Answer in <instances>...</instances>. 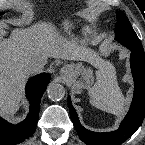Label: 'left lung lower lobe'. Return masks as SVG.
<instances>
[{
	"label": "left lung lower lobe",
	"instance_id": "obj_1",
	"mask_svg": "<svg viewBox=\"0 0 145 145\" xmlns=\"http://www.w3.org/2000/svg\"><path fill=\"white\" fill-rule=\"evenodd\" d=\"M131 50L130 65L134 79V97L130 110L120 127L113 132L97 133L85 129L79 122L68 99L70 115L80 139L87 145H120L140 127L145 117V55L143 47L126 46Z\"/></svg>",
	"mask_w": 145,
	"mask_h": 145
}]
</instances>
